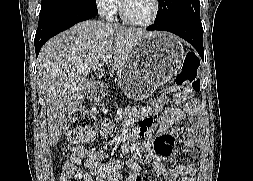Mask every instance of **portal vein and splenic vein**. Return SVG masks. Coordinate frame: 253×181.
<instances>
[{
	"instance_id": "portal-vein-and-splenic-vein-1",
	"label": "portal vein and splenic vein",
	"mask_w": 253,
	"mask_h": 181,
	"mask_svg": "<svg viewBox=\"0 0 253 181\" xmlns=\"http://www.w3.org/2000/svg\"><path fill=\"white\" fill-rule=\"evenodd\" d=\"M103 64H109L112 62V54H106L103 59ZM81 69L84 71V72H90L91 68L88 67V66H82Z\"/></svg>"
}]
</instances>
